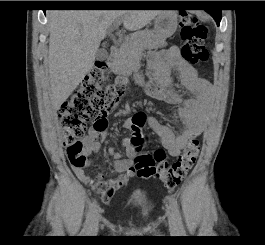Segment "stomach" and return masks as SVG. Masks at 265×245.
I'll return each mask as SVG.
<instances>
[{"label":"stomach","instance_id":"1","mask_svg":"<svg viewBox=\"0 0 265 245\" xmlns=\"http://www.w3.org/2000/svg\"><path fill=\"white\" fill-rule=\"evenodd\" d=\"M178 26V14L175 11H165L154 20V32L161 38L172 36Z\"/></svg>","mask_w":265,"mask_h":245}]
</instances>
